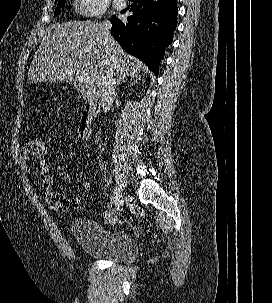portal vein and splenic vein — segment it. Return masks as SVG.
Segmentation results:
<instances>
[{"label": "portal vein and splenic vein", "mask_w": 272, "mask_h": 303, "mask_svg": "<svg viewBox=\"0 0 272 303\" xmlns=\"http://www.w3.org/2000/svg\"><path fill=\"white\" fill-rule=\"evenodd\" d=\"M78 80L81 83H86L87 81H89V77L86 74L81 73L78 75Z\"/></svg>", "instance_id": "1"}]
</instances>
